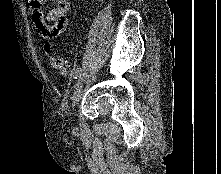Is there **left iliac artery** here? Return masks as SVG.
<instances>
[{"label":"left iliac artery","instance_id":"left-iliac-artery-1","mask_svg":"<svg viewBox=\"0 0 221 174\" xmlns=\"http://www.w3.org/2000/svg\"><path fill=\"white\" fill-rule=\"evenodd\" d=\"M81 71H82L81 68H76L75 69V71L73 73V76H74L75 79H78V77H80Z\"/></svg>","mask_w":221,"mask_h":174}]
</instances>
